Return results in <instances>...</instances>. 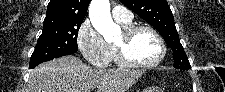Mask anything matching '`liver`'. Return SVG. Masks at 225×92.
Here are the masks:
<instances>
[{"mask_svg":"<svg viewBox=\"0 0 225 92\" xmlns=\"http://www.w3.org/2000/svg\"><path fill=\"white\" fill-rule=\"evenodd\" d=\"M144 73L136 69H93L73 55L40 64L29 73L27 92H126Z\"/></svg>","mask_w":225,"mask_h":92,"instance_id":"6515ba94","label":"liver"}]
</instances>
